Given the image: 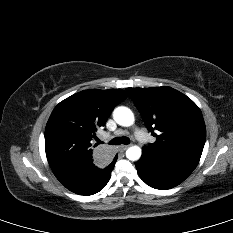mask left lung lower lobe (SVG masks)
<instances>
[{
	"instance_id": "0a47b994",
	"label": "left lung lower lobe",
	"mask_w": 233,
	"mask_h": 233,
	"mask_svg": "<svg viewBox=\"0 0 233 233\" xmlns=\"http://www.w3.org/2000/svg\"><path fill=\"white\" fill-rule=\"evenodd\" d=\"M200 157L183 153H156L143 147L135 162L138 175L149 186L166 190L183 182L195 169Z\"/></svg>"
}]
</instances>
